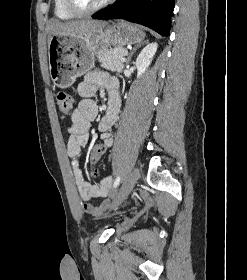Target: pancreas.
Returning <instances> with one entry per match:
<instances>
[{
	"label": "pancreas",
	"instance_id": "obj_1",
	"mask_svg": "<svg viewBox=\"0 0 247 280\" xmlns=\"http://www.w3.org/2000/svg\"><path fill=\"white\" fill-rule=\"evenodd\" d=\"M125 52V48L117 46L98 55V61L101 63L102 67L113 72L121 73L124 69V64L121 61V57Z\"/></svg>",
	"mask_w": 247,
	"mask_h": 280
}]
</instances>
